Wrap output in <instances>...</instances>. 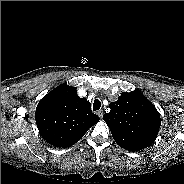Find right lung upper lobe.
Instances as JSON below:
<instances>
[{"instance_id":"1","label":"right lung upper lobe","mask_w":184,"mask_h":184,"mask_svg":"<svg viewBox=\"0 0 184 184\" xmlns=\"http://www.w3.org/2000/svg\"><path fill=\"white\" fill-rule=\"evenodd\" d=\"M76 87L63 83L37 105L35 120L41 136L55 147H70L99 121L91 104L77 95Z\"/></svg>"}]
</instances>
